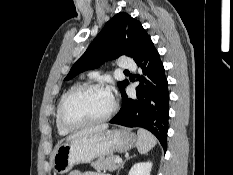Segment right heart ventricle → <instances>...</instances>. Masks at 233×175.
<instances>
[{
	"mask_svg": "<svg viewBox=\"0 0 233 175\" xmlns=\"http://www.w3.org/2000/svg\"><path fill=\"white\" fill-rule=\"evenodd\" d=\"M75 86H76V85H72L71 87H69V88L62 94V96H61V98H60V101H61V99H62L71 89H73ZM60 101H59V103H60ZM59 103H58L57 108H56V111H55V124H56V128H57L58 133L61 134V135H66V134H68V133L70 132V130L63 128V127L60 125L59 121H58L57 112H58Z\"/></svg>",
	"mask_w": 233,
	"mask_h": 175,
	"instance_id": "e07e8e85",
	"label": "right heart ventricle"
}]
</instances>
